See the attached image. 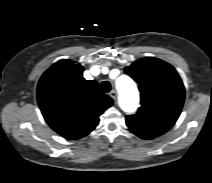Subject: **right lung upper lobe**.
I'll return each mask as SVG.
<instances>
[{"mask_svg":"<svg viewBox=\"0 0 212 183\" xmlns=\"http://www.w3.org/2000/svg\"><path fill=\"white\" fill-rule=\"evenodd\" d=\"M83 67L71 60L52 65L40 78L37 100L50 127L67 139L88 135L113 100L94 80L83 78Z\"/></svg>","mask_w":212,"mask_h":183,"instance_id":"obj_1","label":"right lung upper lobe"}]
</instances>
